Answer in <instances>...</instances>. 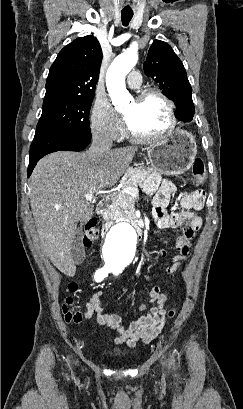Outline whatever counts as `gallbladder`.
<instances>
[{"instance_id": "gallbladder-1", "label": "gallbladder", "mask_w": 243, "mask_h": 409, "mask_svg": "<svg viewBox=\"0 0 243 409\" xmlns=\"http://www.w3.org/2000/svg\"><path fill=\"white\" fill-rule=\"evenodd\" d=\"M84 255L85 252L82 244V233L80 229H77L71 245V256L75 264H80L84 259Z\"/></svg>"}]
</instances>
